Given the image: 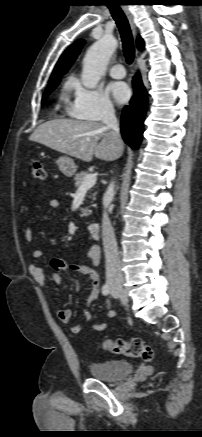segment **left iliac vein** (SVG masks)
Returning <instances> with one entry per match:
<instances>
[{
  "instance_id": "1",
  "label": "left iliac vein",
  "mask_w": 202,
  "mask_h": 437,
  "mask_svg": "<svg viewBox=\"0 0 202 437\" xmlns=\"http://www.w3.org/2000/svg\"><path fill=\"white\" fill-rule=\"evenodd\" d=\"M111 294L114 298H118V296L116 295V293L113 290H112Z\"/></svg>"
}]
</instances>
